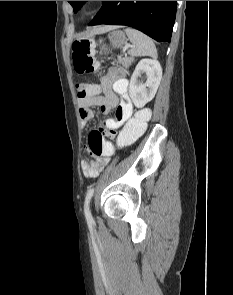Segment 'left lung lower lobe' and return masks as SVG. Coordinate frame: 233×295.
I'll list each match as a JSON object with an SVG mask.
<instances>
[{
    "mask_svg": "<svg viewBox=\"0 0 233 295\" xmlns=\"http://www.w3.org/2000/svg\"><path fill=\"white\" fill-rule=\"evenodd\" d=\"M97 15L89 23L127 25L158 42L171 41L177 1H103Z\"/></svg>",
    "mask_w": 233,
    "mask_h": 295,
    "instance_id": "1",
    "label": "left lung lower lobe"
}]
</instances>
